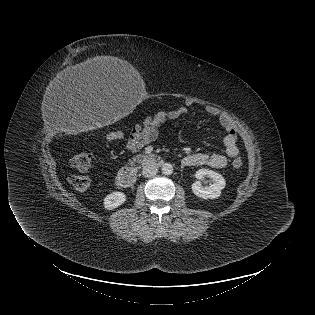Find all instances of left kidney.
I'll return each instance as SVG.
<instances>
[{
	"label": "left kidney",
	"instance_id": "left-kidney-1",
	"mask_svg": "<svg viewBox=\"0 0 315 315\" xmlns=\"http://www.w3.org/2000/svg\"><path fill=\"white\" fill-rule=\"evenodd\" d=\"M209 177L212 179L213 183L208 187H203L200 181H196L192 184L193 193L203 199H215L221 195V190L225 187L224 177L209 169H199L195 177L198 180H202L204 177Z\"/></svg>",
	"mask_w": 315,
	"mask_h": 315
}]
</instances>
